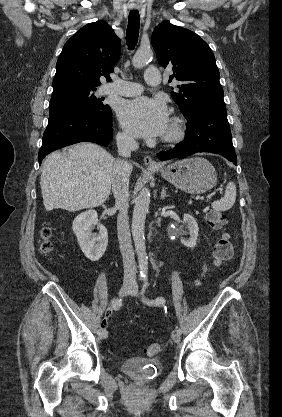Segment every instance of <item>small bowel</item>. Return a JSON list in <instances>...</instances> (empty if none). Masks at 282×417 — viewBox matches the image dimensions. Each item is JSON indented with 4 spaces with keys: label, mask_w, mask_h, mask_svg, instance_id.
<instances>
[{
    "label": "small bowel",
    "mask_w": 282,
    "mask_h": 417,
    "mask_svg": "<svg viewBox=\"0 0 282 417\" xmlns=\"http://www.w3.org/2000/svg\"><path fill=\"white\" fill-rule=\"evenodd\" d=\"M208 270H209L208 264L206 262H204L202 264L199 277L194 281L195 286H200L201 285L203 279L206 277V275L208 273ZM103 326L104 327L106 326V322L103 323Z\"/></svg>",
    "instance_id": "1"
}]
</instances>
